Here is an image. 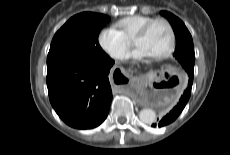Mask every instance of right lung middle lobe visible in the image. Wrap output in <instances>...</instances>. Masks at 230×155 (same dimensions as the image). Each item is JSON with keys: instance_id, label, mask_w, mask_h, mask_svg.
<instances>
[{"instance_id": "1", "label": "right lung middle lobe", "mask_w": 230, "mask_h": 155, "mask_svg": "<svg viewBox=\"0 0 230 155\" xmlns=\"http://www.w3.org/2000/svg\"><path fill=\"white\" fill-rule=\"evenodd\" d=\"M110 18L84 12L70 18L55 34L47 57V66L63 62H96L109 56L98 43V35Z\"/></svg>"}]
</instances>
